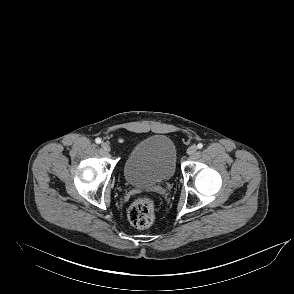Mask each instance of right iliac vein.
Here are the masks:
<instances>
[{"mask_svg":"<svg viewBox=\"0 0 294 294\" xmlns=\"http://www.w3.org/2000/svg\"><path fill=\"white\" fill-rule=\"evenodd\" d=\"M101 147L106 152H110L111 151L110 145L107 142H102Z\"/></svg>","mask_w":294,"mask_h":294,"instance_id":"obj_1","label":"right iliac vein"}]
</instances>
